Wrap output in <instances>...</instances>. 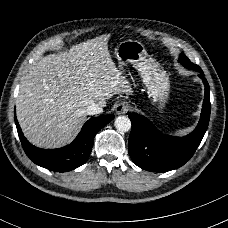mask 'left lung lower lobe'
<instances>
[{
    "label": "left lung lower lobe",
    "mask_w": 228,
    "mask_h": 228,
    "mask_svg": "<svg viewBox=\"0 0 228 228\" xmlns=\"http://www.w3.org/2000/svg\"><path fill=\"white\" fill-rule=\"evenodd\" d=\"M205 95L200 121L193 132L185 137L161 133L144 116L128 113L132 123L128 151L132 161L140 168L152 172H166L184 165L198 148L209 123L211 104L210 89L202 76Z\"/></svg>",
    "instance_id": "0a47b994"
}]
</instances>
